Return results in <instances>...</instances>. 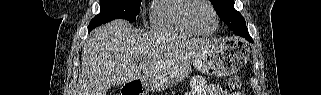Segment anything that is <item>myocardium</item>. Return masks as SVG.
<instances>
[{"instance_id":"f54148a6","label":"myocardium","mask_w":321,"mask_h":95,"mask_svg":"<svg viewBox=\"0 0 321 95\" xmlns=\"http://www.w3.org/2000/svg\"><path fill=\"white\" fill-rule=\"evenodd\" d=\"M198 4H204L206 5L212 12V16H213V22H214V25H213V28L211 31L209 32H204L203 30H201L198 25L196 24L195 20L193 19V10L194 8L198 5ZM186 17H187V20L188 22L190 23V25L194 28V30L200 34V35H204V36H208V35H211L213 34L216 29H217V26H218V18H217V13H216V10L215 8L213 7L212 3L209 1V0H190V4L189 6L187 7V11H186Z\"/></svg>"}]
</instances>
